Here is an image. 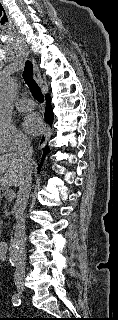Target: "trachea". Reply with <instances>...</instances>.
I'll list each match as a JSON object with an SVG mask.
<instances>
[{
    "instance_id": "obj_1",
    "label": "trachea",
    "mask_w": 118,
    "mask_h": 320,
    "mask_svg": "<svg viewBox=\"0 0 118 320\" xmlns=\"http://www.w3.org/2000/svg\"><path fill=\"white\" fill-rule=\"evenodd\" d=\"M23 78L27 86L29 87L33 97L38 101V102H43L44 101V96L36 83V81L33 78V65L30 61H26L25 63V68L23 72Z\"/></svg>"
}]
</instances>
